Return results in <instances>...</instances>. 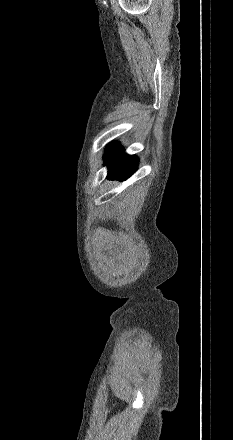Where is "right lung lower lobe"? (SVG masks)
Instances as JSON below:
<instances>
[{"label":"right lung lower lobe","instance_id":"1","mask_svg":"<svg viewBox=\"0 0 233 440\" xmlns=\"http://www.w3.org/2000/svg\"><path fill=\"white\" fill-rule=\"evenodd\" d=\"M104 162L109 166L108 177L110 179L116 177L126 179L137 170L138 166V158L125 154L118 143L107 147Z\"/></svg>","mask_w":233,"mask_h":440}]
</instances>
